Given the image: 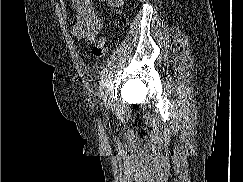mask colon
Here are the masks:
<instances>
[{"mask_svg": "<svg viewBox=\"0 0 243 182\" xmlns=\"http://www.w3.org/2000/svg\"><path fill=\"white\" fill-rule=\"evenodd\" d=\"M108 50V38L101 36L93 46L92 54L96 59L104 57Z\"/></svg>", "mask_w": 243, "mask_h": 182, "instance_id": "1", "label": "colon"}]
</instances>
